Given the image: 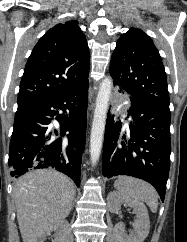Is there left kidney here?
<instances>
[{
  "instance_id": "1",
  "label": "left kidney",
  "mask_w": 187,
  "mask_h": 242,
  "mask_svg": "<svg viewBox=\"0 0 187 242\" xmlns=\"http://www.w3.org/2000/svg\"><path fill=\"white\" fill-rule=\"evenodd\" d=\"M107 202L111 212L117 213L120 210L121 204H125L133 208L137 217L133 224L134 231L131 232L130 235L125 234L124 225L122 223H118L115 226L119 242H143L150 229V221L146 206L142 202L130 199L117 191L108 194Z\"/></svg>"
}]
</instances>
